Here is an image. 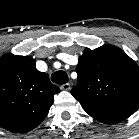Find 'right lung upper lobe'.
<instances>
[{"label": "right lung upper lobe", "mask_w": 139, "mask_h": 139, "mask_svg": "<svg viewBox=\"0 0 139 139\" xmlns=\"http://www.w3.org/2000/svg\"><path fill=\"white\" fill-rule=\"evenodd\" d=\"M49 76L39 72L35 60L10 53L0 57V126L25 133L46 117L59 93Z\"/></svg>", "instance_id": "1"}]
</instances>
